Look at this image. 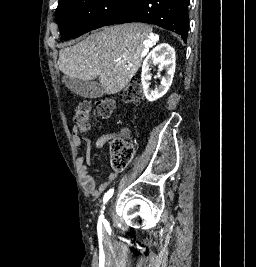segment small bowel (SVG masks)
Returning <instances> with one entry per match:
<instances>
[{
    "label": "small bowel",
    "mask_w": 256,
    "mask_h": 267,
    "mask_svg": "<svg viewBox=\"0 0 256 267\" xmlns=\"http://www.w3.org/2000/svg\"><path fill=\"white\" fill-rule=\"evenodd\" d=\"M108 140L114 141L115 137L103 135L96 140L95 147H103ZM73 141L77 148H80L83 144L87 146L85 153L77 157V169L85 192L97 198L106 191L109 185L115 180L117 173L111 172L109 176L96 187L94 179L89 174V167L91 166V141L84 138L76 128L73 129Z\"/></svg>",
    "instance_id": "small-bowel-1"
}]
</instances>
